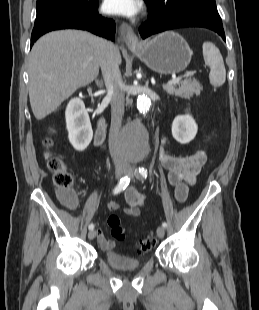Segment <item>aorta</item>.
Wrapping results in <instances>:
<instances>
[{"label": "aorta", "instance_id": "762f6f07", "mask_svg": "<svg viewBox=\"0 0 259 310\" xmlns=\"http://www.w3.org/2000/svg\"><path fill=\"white\" fill-rule=\"evenodd\" d=\"M151 108V100L145 95L137 98V110L146 114ZM120 147L133 160L143 159L149 152V137L147 130L140 123L127 125L120 135Z\"/></svg>", "mask_w": 259, "mask_h": 310}]
</instances>
